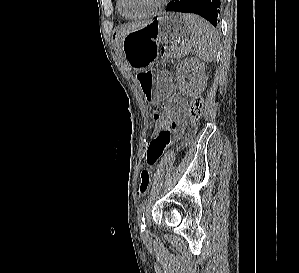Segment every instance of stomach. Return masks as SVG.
<instances>
[{"label":"stomach","mask_w":299,"mask_h":273,"mask_svg":"<svg viewBox=\"0 0 299 273\" xmlns=\"http://www.w3.org/2000/svg\"><path fill=\"white\" fill-rule=\"evenodd\" d=\"M189 31L185 15L165 14L152 19L147 26L128 33L122 41L126 64L136 70V81L143 92L144 101H168L170 75L158 70L160 43H173ZM153 42V43H151Z\"/></svg>","instance_id":"1"}]
</instances>
